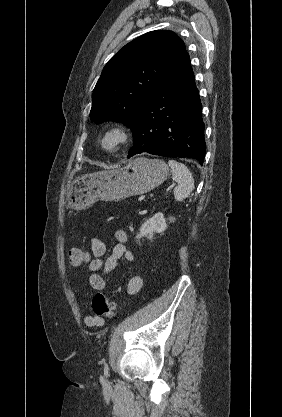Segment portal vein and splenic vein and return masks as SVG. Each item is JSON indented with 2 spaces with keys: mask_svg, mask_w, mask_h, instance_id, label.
<instances>
[{
  "mask_svg": "<svg viewBox=\"0 0 282 417\" xmlns=\"http://www.w3.org/2000/svg\"><path fill=\"white\" fill-rule=\"evenodd\" d=\"M172 186H175V184H172ZM149 196L148 192H145L144 194H140L138 197V202L142 203L144 199H146Z\"/></svg>",
  "mask_w": 282,
  "mask_h": 417,
  "instance_id": "1",
  "label": "portal vein and splenic vein"
}]
</instances>
